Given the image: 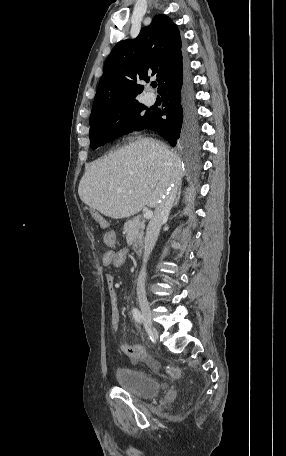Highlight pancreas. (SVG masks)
<instances>
[{
    "label": "pancreas",
    "mask_w": 286,
    "mask_h": 456,
    "mask_svg": "<svg viewBox=\"0 0 286 456\" xmlns=\"http://www.w3.org/2000/svg\"><path fill=\"white\" fill-rule=\"evenodd\" d=\"M144 222L139 217L133 218L124 224V232L126 233V241L128 245H137L143 239Z\"/></svg>",
    "instance_id": "obj_1"
}]
</instances>
